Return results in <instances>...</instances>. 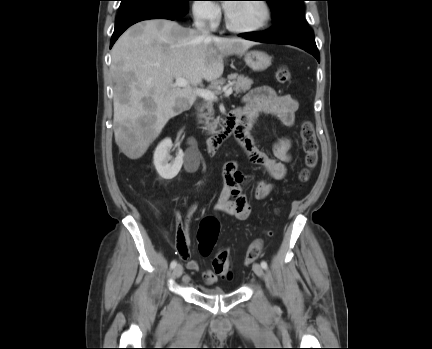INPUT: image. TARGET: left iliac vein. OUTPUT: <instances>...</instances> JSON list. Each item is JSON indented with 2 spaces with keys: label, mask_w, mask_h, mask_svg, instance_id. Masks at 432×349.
Segmentation results:
<instances>
[{
  "label": "left iliac vein",
  "mask_w": 432,
  "mask_h": 349,
  "mask_svg": "<svg viewBox=\"0 0 432 349\" xmlns=\"http://www.w3.org/2000/svg\"><path fill=\"white\" fill-rule=\"evenodd\" d=\"M253 271L259 277H263L264 275L263 268L257 263L253 265Z\"/></svg>",
  "instance_id": "1"
}]
</instances>
